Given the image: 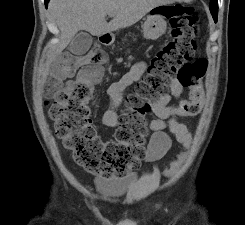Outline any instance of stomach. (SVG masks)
I'll list each match as a JSON object with an SVG mask.
<instances>
[{
    "mask_svg": "<svg viewBox=\"0 0 245 225\" xmlns=\"http://www.w3.org/2000/svg\"><path fill=\"white\" fill-rule=\"evenodd\" d=\"M164 7L167 5H159L150 10L146 21L143 25V36L148 40H157L167 29V23L164 16Z\"/></svg>",
    "mask_w": 245,
    "mask_h": 225,
    "instance_id": "obj_1",
    "label": "stomach"
}]
</instances>
